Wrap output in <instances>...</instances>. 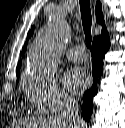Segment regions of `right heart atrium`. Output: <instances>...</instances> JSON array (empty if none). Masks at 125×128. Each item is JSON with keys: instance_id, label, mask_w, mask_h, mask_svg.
Wrapping results in <instances>:
<instances>
[{"instance_id": "right-heart-atrium-1", "label": "right heart atrium", "mask_w": 125, "mask_h": 128, "mask_svg": "<svg viewBox=\"0 0 125 128\" xmlns=\"http://www.w3.org/2000/svg\"><path fill=\"white\" fill-rule=\"evenodd\" d=\"M24 88L33 107L42 113H56L73 104V99L58 86L54 77L30 73L24 80Z\"/></svg>"}]
</instances>
